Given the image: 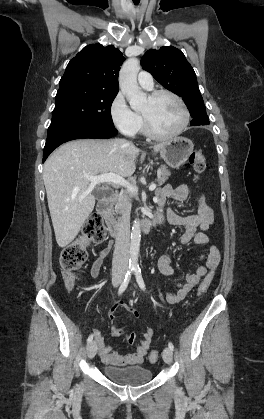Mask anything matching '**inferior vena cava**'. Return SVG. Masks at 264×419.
I'll use <instances>...</instances> for the list:
<instances>
[{"label":"inferior vena cava","mask_w":264,"mask_h":419,"mask_svg":"<svg viewBox=\"0 0 264 419\" xmlns=\"http://www.w3.org/2000/svg\"><path fill=\"white\" fill-rule=\"evenodd\" d=\"M121 219L117 225L115 250L112 267L114 270L126 271L130 246V206L124 201L120 204Z\"/></svg>","instance_id":"1"}]
</instances>
